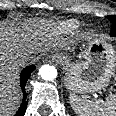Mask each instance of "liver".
<instances>
[{
  "label": "liver",
  "mask_w": 116,
  "mask_h": 116,
  "mask_svg": "<svg viewBox=\"0 0 116 116\" xmlns=\"http://www.w3.org/2000/svg\"><path fill=\"white\" fill-rule=\"evenodd\" d=\"M35 51L29 33L0 26V116H10L20 100L15 84L20 55Z\"/></svg>",
  "instance_id": "6515ba94"
}]
</instances>
